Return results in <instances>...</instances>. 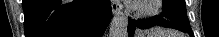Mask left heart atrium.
Listing matches in <instances>:
<instances>
[{"mask_svg": "<svg viewBox=\"0 0 219 37\" xmlns=\"http://www.w3.org/2000/svg\"><path fill=\"white\" fill-rule=\"evenodd\" d=\"M130 3H132V4H136V3H138L139 1L138 0H134V1H129Z\"/></svg>", "mask_w": 219, "mask_h": 37, "instance_id": "obj_1", "label": "left heart atrium"}]
</instances>
